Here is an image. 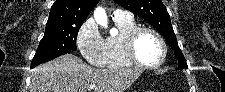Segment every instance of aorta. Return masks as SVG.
<instances>
[{
	"instance_id": "762f6f07",
	"label": "aorta",
	"mask_w": 225,
	"mask_h": 92,
	"mask_svg": "<svg viewBox=\"0 0 225 92\" xmlns=\"http://www.w3.org/2000/svg\"><path fill=\"white\" fill-rule=\"evenodd\" d=\"M94 18L95 21L97 22V24H99L101 27L106 28L107 24H108V17L107 14L105 12V9L102 7H97L94 10ZM115 31L111 30V34H113Z\"/></svg>"
}]
</instances>
